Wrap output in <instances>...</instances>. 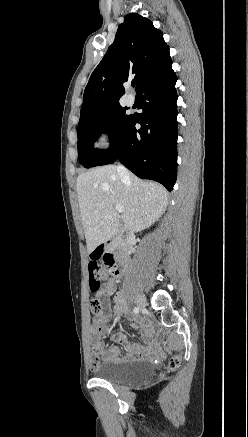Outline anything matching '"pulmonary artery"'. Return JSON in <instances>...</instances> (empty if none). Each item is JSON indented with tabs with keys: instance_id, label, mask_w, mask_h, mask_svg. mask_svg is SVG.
Listing matches in <instances>:
<instances>
[{
	"instance_id": "pulmonary-artery-1",
	"label": "pulmonary artery",
	"mask_w": 248,
	"mask_h": 437,
	"mask_svg": "<svg viewBox=\"0 0 248 437\" xmlns=\"http://www.w3.org/2000/svg\"><path fill=\"white\" fill-rule=\"evenodd\" d=\"M126 102L128 105H133L134 104V97L132 95H128L126 98Z\"/></svg>"
}]
</instances>
